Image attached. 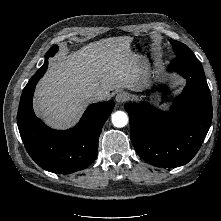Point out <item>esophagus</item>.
I'll use <instances>...</instances> for the list:
<instances>
[{
    "mask_svg": "<svg viewBox=\"0 0 221 221\" xmlns=\"http://www.w3.org/2000/svg\"><path fill=\"white\" fill-rule=\"evenodd\" d=\"M128 99V95L126 93H119L117 94L115 100L117 103H122Z\"/></svg>",
    "mask_w": 221,
    "mask_h": 221,
    "instance_id": "1",
    "label": "esophagus"
}]
</instances>
